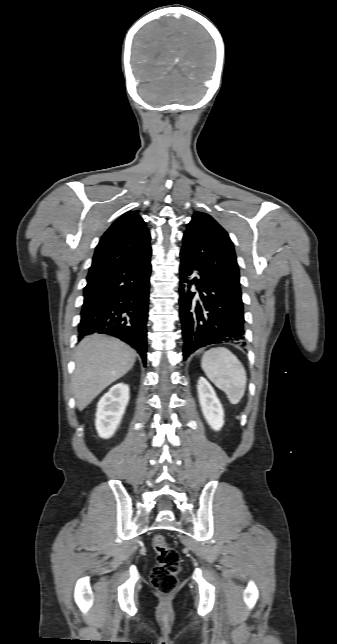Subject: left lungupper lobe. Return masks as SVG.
<instances>
[{"instance_id":"obj_1","label":"left lung upper lobe","mask_w":337,"mask_h":644,"mask_svg":"<svg viewBox=\"0 0 337 644\" xmlns=\"http://www.w3.org/2000/svg\"><path fill=\"white\" fill-rule=\"evenodd\" d=\"M180 256L194 262L241 299L239 268L233 243L211 216L202 212L194 213L183 236Z\"/></svg>"}]
</instances>
